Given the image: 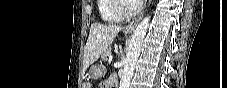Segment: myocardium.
<instances>
[{
  "label": "myocardium",
  "mask_w": 227,
  "mask_h": 88,
  "mask_svg": "<svg viewBox=\"0 0 227 88\" xmlns=\"http://www.w3.org/2000/svg\"><path fill=\"white\" fill-rule=\"evenodd\" d=\"M130 2V0H115L113 3V11L121 19H127L132 16L137 15L140 12L139 7H134L133 10L127 11L125 8V3Z\"/></svg>",
  "instance_id": "obj_1"
}]
</instances>
